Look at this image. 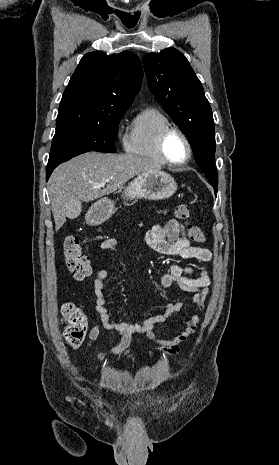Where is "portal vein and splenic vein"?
<instances>
[{
  "label": "portal vein and splenic vein",
  "instance_id": "obj_1",
  "mask_svg": "<svg viewBox=\"0 0 279 465\" xmlns=\"http://www.w3.org/2000/svg\"><path fill=\"white\" fill-rule=\"evenodd\" d=\"M107 181H108V180H106V181L102 182L101 184H99V187L105 186V184H106Z\"/></svg>",
  "mask_w": 279,
  "mask_h": 465
}]
</instances>
